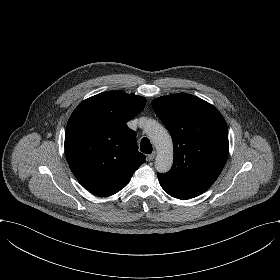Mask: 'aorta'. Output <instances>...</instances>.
Listing matches in <instances>:
<instances>
[{
  "instance_id": "aorta-1",
  "label": "aorta",
  "mask_w": 280,
  "mask_h": 280,
  "mask_svg": "<svg viewBox=\"0 0 280 280\" xmlns=\"http://www.w3.org/2000/svg\"><path fill=\"white\" fill-rule=\"evenodd\" d=\"M145 131L157 150L156 169L161 172L170 170L173 164V143L167 130L154 120H148Z\"/></svg>"
}]
</instances>
